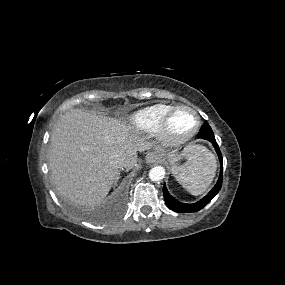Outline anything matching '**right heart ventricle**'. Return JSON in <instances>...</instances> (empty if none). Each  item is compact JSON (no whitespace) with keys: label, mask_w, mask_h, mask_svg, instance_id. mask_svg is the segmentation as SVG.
<instances>
[{"label":"right heart ventricle","mask_w":285,"mask_h":285,"mask_svg":"<svg viewBox=\"0 0 285 285\" xmlns=\"http://www.w3.org/2000/svg\"><path fill=\"white\" fill-rule=\"evenodd\" d=\"M174 106L158 103L137 110L127 117L131 130L138 133H155L158 131L164 117Z\"/></svg>","instance_id":"1"}]
</instances>
